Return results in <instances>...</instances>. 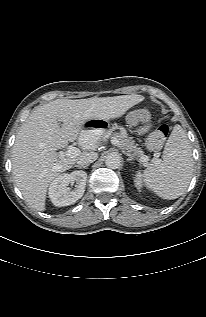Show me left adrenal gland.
I'll return each mask as SVG.
<instances>
[{
	"mask_svg": "<svg viewBox=\"0 0 206 317\" xmlns=\"http://www.w3.org/2000/svg\"><path fill=\"white\" fill-rule=\"evenodd\" d=\"M124 154H126L129 158L127 159L128 161H132V160H134V156L133 155H131V154H129V153H125L124 152Z\"/></svg>",
	"mask_w": 206,
	"mask_h": 317,
	"instance_id": "obj_1",
	"label": "left adrenal gland"
}]
</instances>
